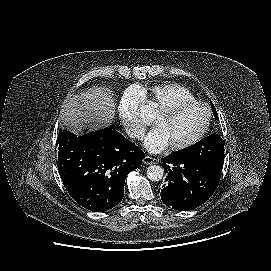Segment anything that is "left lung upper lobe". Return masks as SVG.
<instances>
[{"label": "left lung upper lobe", "mask_w": 271, "mask_h": 271, "mask_svg": "<svg viewBox=\"0 0 271 271\" xmlns=\"http://www.w3.org/2000/svg\"><path fill=\"white\" fill-rule=\"evenodd\" d=\"M211 107L216 119L217 111L211 102ZM224 141L217 135L212 134L194 146L174 153L180 158L197 161L211 170L221 174L224 162Z\"/></svg>", "instance_id": "5c2ea615"}]
</instances>
